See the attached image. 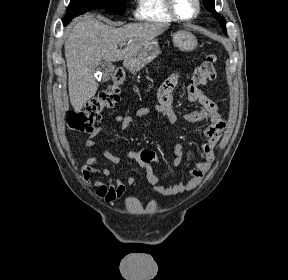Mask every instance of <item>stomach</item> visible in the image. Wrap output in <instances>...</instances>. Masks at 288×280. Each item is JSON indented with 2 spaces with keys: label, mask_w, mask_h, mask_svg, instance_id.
Wrapping results in <instances>:
<instances>
[{
  "label": "stomach",
  "mask_w": 288,
  "mask_h": 280,
  "mask_svg": "<svg viewBox=\"0 0 288 280\" xmlns=\"http://www.w3.org/2000/svg\"><path fill=\"white\" fill-rule=\"evenodd\" d=\"M173 43L182 51H192L197 47L196 37L187 30H179L172 35ZM161 53L157 40L148 41L140 51L124 59V65L133 70H140Z\"/></svg>",
  "instance_id": "1"
}]
</instances>
